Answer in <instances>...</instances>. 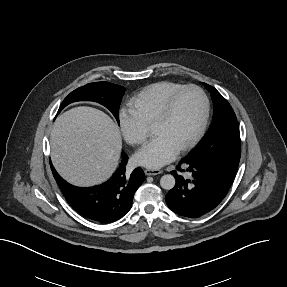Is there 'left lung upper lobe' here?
<instances>
[{"label": "left lung upper lobe", "mask_w": 287, "mask_h": 287, "mask_svg": "<svg viewBox=\"0 0 287 287\" xmlns=\"http://www.w3.org/2000/svg\"><path fill=\"white\" fill-rule=\"evenodd\" d=\"M214 105L213 123L203 141L185 159H225L239 161L241 139L236 115L228 101L212 86L204 83Z\"/></svg>", "instance_id": "1"}]
</instances>
